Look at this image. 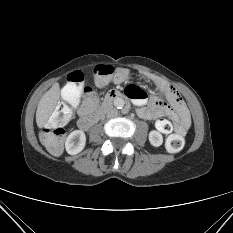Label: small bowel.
<instances>
[{
    "mask_svg": "<svg viewBox=\"0 0 233 233\" xmlns=\"http://www.w3.org/2000/svg\"><path fill=\"white\" fill-rule=\"evenodd\" d=\"M148 78L156 87L157 92L150 98L138 86L130 85L126 89L127 95L137 106V114L145 120L155 122L156 129L163 133L185 134L188 130L191 119L188 109L179 94L178 90L154 75H141ZM131 71L126 68H118L114 75V83L121 84L128 81ZM96 105V99L85 98L80 107L81 118L88 116Z\"/></svg>",
    "mask_w": 233,
    "mask_h": 233,
    "instance_id": "obj_1",
    "label": "small bowel"
}]
</instances>
